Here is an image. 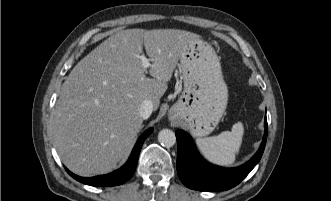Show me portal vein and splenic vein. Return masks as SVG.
Instances as JSON below:
<instances>
[{
    "instance_id": "obj_1",
    "label": "portal vein and splenic vein",
    "mask_w": 331,
    "mask_h": 201,
    "mask_svg": "<svg viewBox=\"0 0 331 201\" xmlns=\"http://www.w3.org/2000/svg\"><path fill=\"white\" fill-rule=\"evenodd\" d=\"M140 59H141V61H142V67L144 68V69H147V68H149L150 67V61H152L153 59H148V58H146L144 55H141L140 56Z\"/></svg>"
}]
</instances>
